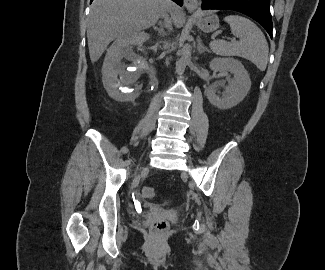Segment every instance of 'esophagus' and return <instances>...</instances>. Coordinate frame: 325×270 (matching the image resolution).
Returning <instances> with one entry per match:
<instances>
[{"mask_svg":"<svg viewBox=\"0 0 325 270\" xmlns=\"http://www.w3.org/2000/svg\"><path fill=\"white\" fill-rule=\"evenodd\" d=\"M184 5L189 11H193L198 8V0H184Z\"/></svg>","mask_w":325,"mask_h":270,"instance_id":"1","label":"esophagus"}]
</instances>
